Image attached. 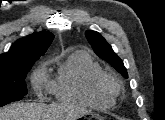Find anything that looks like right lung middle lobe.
Listing matches in <instances>:
<instances>
[{"label":"right lung middle lobe","instance_id":"obj_1","mask_svg":"<svg viewBox=\"0 0 165 120\" xmlns=\"http://www.w3.org/2000/svg\"><path fill=\"white\" fill-rule=\"evenodd\" d=\"M36 60L0 63V106L21 100L27 94L25 78Z\"/></svg>","mask_w":165,"mask_h":120}]
</instances>
